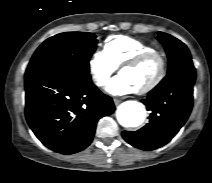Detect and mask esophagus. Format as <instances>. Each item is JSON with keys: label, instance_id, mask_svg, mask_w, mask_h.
Segmentation results:
<instances>
[{"label": "esophagus", "instance_id": "34e87169", "mask_svg": "<svg viewBox=\"0 0 212 183\" xmlns=\"http://www.w3.org/2000/svg\"><path fill=\"white\" fill-rule=\"evenodd\" d=\"M113 101H114V104H115L116 106H118V105L121 103V100L118 99V98H114Z\"/></svg>", "mask_w": 212, "mask_h": 183}]
</instances>
